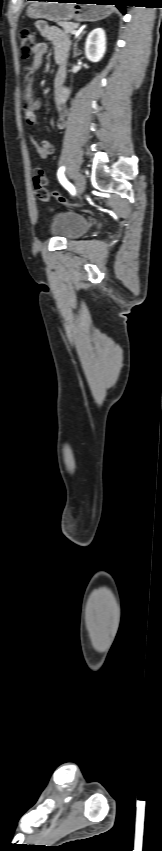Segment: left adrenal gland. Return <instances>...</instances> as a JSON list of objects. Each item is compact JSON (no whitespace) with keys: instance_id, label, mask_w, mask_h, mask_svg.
I'll list each match as a JSON object with an SVG mask.
<instances>
[{"instance_id":"left-adrenal-gland-1","label":"left adrenal gland","mask_w":162,"mask_h":851,"mask_svg":"<svg viewBox=\"0 0 162 851\" xmlns=\"http://www.w3.org/2000/svg\"><path fill=\"white\" fill-rule=\"evenodd\" d=\"M85 33H86V31H82V32L80 33V35H79V37H78L77 41L74 43V48H73L74 57H76V56L78 55V52H77V42H78V41L82 38V36H83Z\"/></svg>"}]
</instances>
